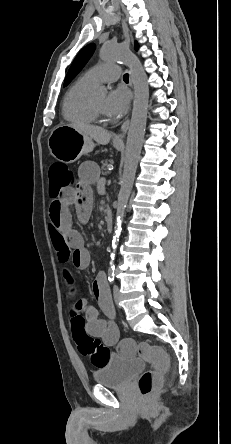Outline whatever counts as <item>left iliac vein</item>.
<instances>
[{
  "label": "left iliac vein",
  "instance_id": "4c4485c4",
  "mask_svg": "<svg viewBox=\"0 0 231 444\" xmlns=\"http://www.w3.org/2000/svg\"><path fill=\"white\" fill-rule=\"evenodd\" d=\"M113 294H114V300L116 302L117 305H119V301H120V290L119 287L117 285H115L113 287Z\"/></svg>",
  "mask_w": 231,
  "mask_h": 444
}]
</instances>
